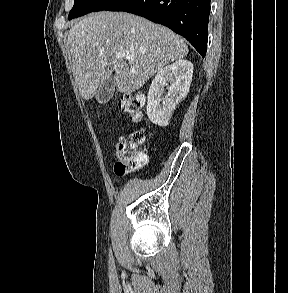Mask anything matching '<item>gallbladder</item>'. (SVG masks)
<instances>
[{
    "label": "gallbladder",
    "mask_w": 288,
    "mask_h": 293,
    "mask_svg": "<svg viewBox=\"0 0 288 293\" xmlns=\"http://www.w3.org/2000/svg\"><path fill=\"white\" fill-rule=\"evenodd\" d=\"M115 84V78L112 75L99 86L96 95L98 103L105 104L112 98L115 90Z\"/></svg>",
    "instance_id": "obj_1"
}]
</instances>
